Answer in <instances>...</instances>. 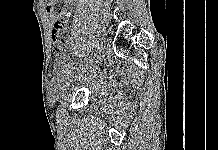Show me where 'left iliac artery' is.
I'll return each instance as SVG.
<instances>
[{"instance_id": "1", "label": "left iliac artery", "mask_w": 218, "mask_h": 150, "mask_svg": "<svg viewBox=\"0 0 218 150\" xmlns=\"http://www.w3.org/2000/svg\"><path fill=\"white\" fill-rule=\"evenodd\" d=\"M95 54V53H94ZM78 71L81 69L82 71L85 69L83 66L80 68L79 66L76 68ZM72 71H67L65 74L67 75V76H72Z\"/></svg>"}]
</instances>
